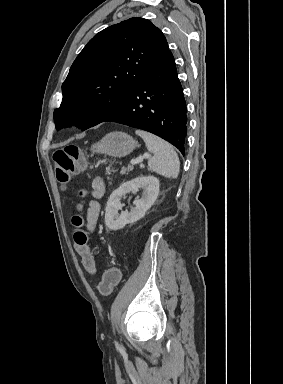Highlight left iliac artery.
<instances>
[{"instance_id": "left-iliac-artery-1", "label": "left iliac artery", "mask_w": 283, "mask_h": 384, "mask_svg": "<svg viewBox=\"0 0 283 384\" xmlns=\"http://www.w3.org/2000/svg\"><path fill=\"white\" fill-rule=\"evenodd\" d=\"M115 346H116L117 348H119V344H118V342H116V341H115Z\"/></svg>"}]
</instances>
